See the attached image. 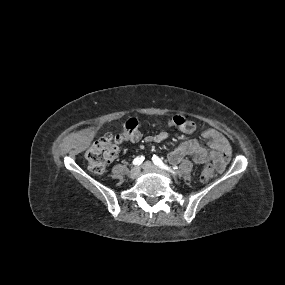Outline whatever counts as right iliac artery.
Here are the masks:
<instances>
[{"instance_id": "1", "label": "right iliac artery", "mask_w": 285, "mask_h": 285, "mask_svg": "<svg viewBox=\"0 0 285 285\" xmlns=\"http://www.w3.org/2000/svg\"><path fill=\"white\" fill-rule=\"evenodd\" d=\"M144 161L143 156H138L133 160V165H140Z\"/></svg>"}]
</instances>
